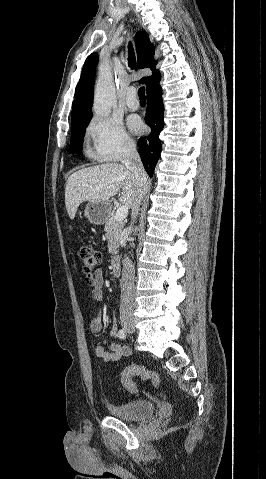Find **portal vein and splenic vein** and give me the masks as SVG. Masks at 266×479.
I'll return each instance as SVG.
<instances>
[{
  "label": "portal vein and splenic vein",
  "instance_id": "obj_1",
  "mask_svg": "<svg viewBox=\"0 0 266 479\" xmlns=\"http://www.w3.org/2000/svg\"><path fill=\"white\" fill-rule=\"evenodd\" d=\"M128 215V207L123 205L119 207L115 213V219L118 221H123Z\"/></svg>",
  "mask_w": 266,
  "mask_h": 479
}]
</instances>
